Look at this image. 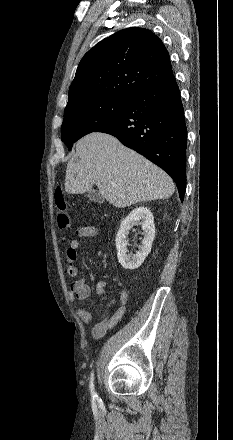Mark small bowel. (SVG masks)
Here are the masks:
<instances>
[{
    "label": "small bowel",
    "instance_id": "c3829d8e",
    "mask_svg": "<svg viewBox=\"0 0 233 440\" xmlns=\"http://www.w3.org/2000/svg\"><path fill=\"white\" fill-rule=\"evenodd\" d=\"M75 235L76 237L69 242L67 248V258L69 262L67 272L71 277L75 278L70 285V297L72 300L83 301L89 298L91 290L86 284L85 279L78 277L79 271L78 268L73 264V261L76 258L77 251L80 246L78 238H94L98 235V229L95 226H83L75 231ZM108 285L109 283L107 281H100L96 285V293L106 299V305L104 311L92 328L91 334L94 338L104 336L120 321L125 313V305L128 300V293L126 290H122L120 293V306L113 314H109L110 308L114 307L117 301L115 297L108 296L106 294L105 289ZM77 315L85 323L91 322L94 319L93 313L89 312L84 307H80L77 310Z\"/></svg>",
    "mask_w": 233,
    "mask_h": 440
}]
</instances>
